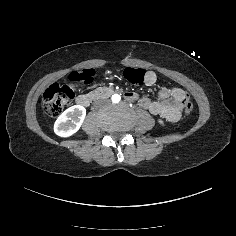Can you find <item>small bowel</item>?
I'll list each match as a JSON object with an SVG mask.
<instances>
[{"instance_id":"small-bowel-1","label":"small bowel","mask_w":236,"mask_h":236,"mask_svg":"<svg viewBox=\"0 0 236 236\" xmlns=\"http://www.w3.org/2000/svg\"><path fill=\"white\" fill-rule=\"evenodd\" d=\"M153 75H150L147 79H146V84L147 85H152L154 83V80L152 79ZM165 93H168L167 91ZM172 94H174L180 101V103H182V100L185 96V92L181 89H174L172 91Z\"/></svg>"}]
</instances>
